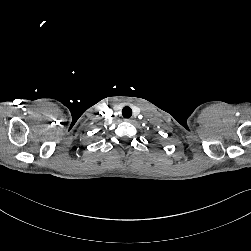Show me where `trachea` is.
Returning <instances> with one entry per match:
<instances>
[{
  "label": "trachea",
  "mask_w": 251,
  "mask_h": 251,
  "mask_svg": "<svg viewBox=\"0 0 251 251\" xmlns=\"http://www.w3.org/2000/svg\"><path fill=\"white\" fill-rule=\"evenodd\" d=\"M122 115L124 118H130L132 116V109L128 106L124 107L122 110Z\"/></svg>",
  "instance_id": "1"
}]
</instances>
